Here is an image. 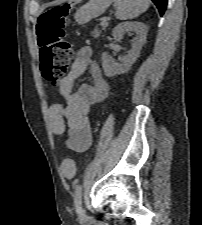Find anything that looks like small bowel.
<instances>
[{
  "label": "small bowel",
  "mask_w": 202,
  "mask_h": 225,
  "mask_svg": "<svg viewBox=\"0 0 202 225\" xmlns=\"http://www.w3.org/2000/svg\"><path fill=\"white\" fill-rule=\"evenodd\" d=\"M92 49H78L69 73L59 85V94L66 105L54 104L49 108L50 129L54 135L67 133V145L75 152L87 151L93 142L88 119L89 107L103 101L109 93V84L100 68L93 62ZM89 72L92 85L75 81Z\"/></svg>",
  "instance_id": "1"
}]
</instances>
